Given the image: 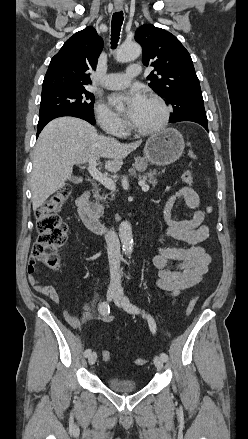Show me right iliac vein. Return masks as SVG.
<instances>
[{
	"label": "right iliac vein",
	"mask_w": 248,
	"mask_h": 439,
	"mask_svg": "<svg viewBox=\"0 0 248 439\" xmlns=\"http://www.w3.org/2000/svg\"><path fill=\"white\" fill-rule=\"evenodd\" d=\"M116 296H117V291H116V289L113 288V287H110V288L108 289V291H107V299H108L109 301H112V300H114V299L116 298ZM96 360H97V354H96V352H92V353L88 356V363H89L90 365H93V364L96 362Z\"/></svg>",
	"instance_id": "obj_1"
}]
</instances>
